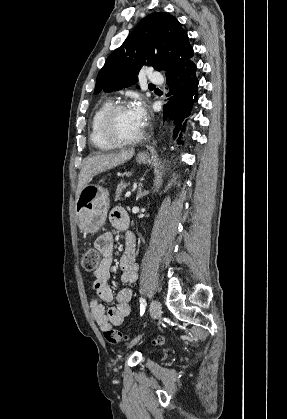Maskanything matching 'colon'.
<instances>
[{
	"mask_svg": "<svg viewBox=\"0 0 287 419\" xmlns=\"http://www.w3.org/2000/svg\"><path fill=\"white\" fill-rule=\"evenodd\" d=\"M101 263V254L95 248H87L82 252L81 264L86 272H95ZM104 337L108 343L116 344L128 340V336L121 331L108 329L104 332ZM163 338L155 339L156 344H162Z\"/></svg>",
	"mask_w": 287,
	"mask_h": 419,
	"instance_id": "5ec220e1",
	"label": "colon"
}]
</instances>
